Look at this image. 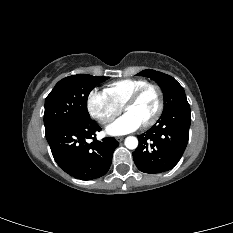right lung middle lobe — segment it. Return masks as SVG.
Listing matches in <instances>:
<instances>
[{
  "label": "right lung middle lobe",
  "instance_id": "right-lung-middle-lobe-1",
  "mask_svg": "<svg viewBox=\"0 0 233 233\" xmlns=\"http://www.w3.org/2000/svg\"><path fill=\"white\" fill-rule=\"evenodd\" d=\"M108 78L78 74L60 80L45 99V131L61 124L89 119L88 95Z\"/></svg>",
  "mask_w": 233,
  "mask_h": 233
}]
</instances>
